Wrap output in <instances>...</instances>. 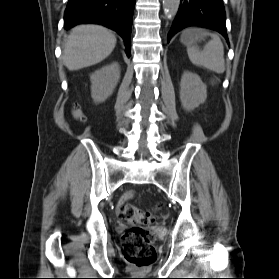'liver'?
Returning a JSON list of instances; mask_svg holds the SVG:
<instances>
[{
    "mask_svg": "<svg viewBox=\"0 0 279 279\" xmlns=\"http://www.w3.org/2000/svg\"><path fill=\"white\" fill-rule=\"evenodd\" d=\"M116 37L105 27L80 25L72 29L65 39L63 64L75 71L95 65L107 58L114 50Z\"/></svg>",
    "mask_w": 279,
    "mask_h": 279,
    "instance_id": "1",
    "label": "liver"
}]
</instances>
